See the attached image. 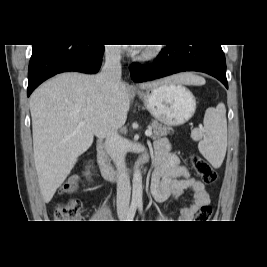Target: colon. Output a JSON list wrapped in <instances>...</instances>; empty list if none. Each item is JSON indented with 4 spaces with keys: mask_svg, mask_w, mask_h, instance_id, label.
<instances>
[{
    "mask_svg": "<svg viewBox=\"0 0 267 267\" xmlns=\"http://www.w3.org/2000/svg\"><path fill=\"white\" fill-rule=\"evenodd\" d=\"M191 163L197 174L207 184H213L217 180V174L210 164L199 156H192ZM76 183L73 179L66 181L62 186V191L69 193L73 191ZM212 207L210 205H203L197 216L198 222H208L212 216ZM83 205L80 200L76 198L68 199L63 203L56 205L54 209V217L56 222H76L82 217Z\"/></svg>",
    "mask_w": 267,
    "mask_h": 267,
    "instance_id": "5ec220e1",
    "label": "colon"
}]
</instances>
